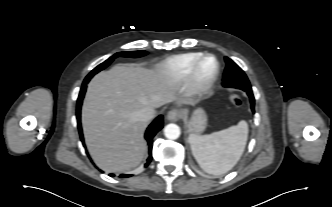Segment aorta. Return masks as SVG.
Returning a JSON list of instances; mask_svg holds the SVG:
<instances>
[{
  "mask_svg": "<svg viewBox=\"0 0 332 207\" xmlns=\"http://www.w3.org/2000/svg\"><path fill=\"white\" fill-rule=\"evenodd\" d=\"M180 133H181V131H180L179 126L176 124H173V123L166 125L164 128V134H165L166 138L171 139V140H175V139L179 138Z\"/></svg>",
  "mask_w": 332,
  "mask_h": 207,
  "instance_id": "aorta-1",
  "label": "aorta"
}]
</instances>
